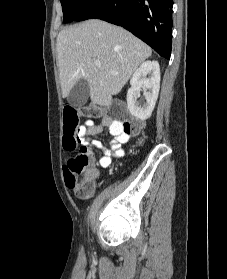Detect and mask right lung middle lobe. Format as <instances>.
Returning a JSON list of instances; mask_svg holds the SVG:
<instances>
[{"instance_id":"dd1d6c3e","label":"right lung middle lobe","mask_w":227,"mask_h":279,"mask_svg":"<svg viewBox=\"0 0 227 279\" xmlns=\"http://www.w3.org/2000/svg\"><path fill=\"white\" fill-rule=\"evenodd\" d=\"M63 9V22L73 21L90 0H60Z\"/></svg>"}]
</instances>
